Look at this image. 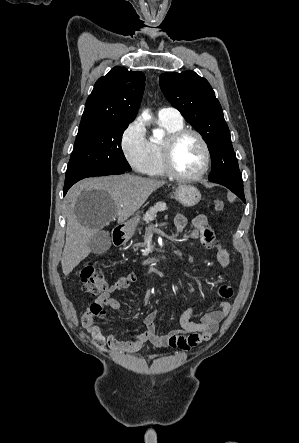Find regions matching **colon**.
I'll return each mask as SVG.
<instances>
[{"instance_id":"colon-1","label":"colon","mask_w":299,"mask_h":443,"mask_svg":"<svg viewBox=\"0 0 299 443\" xmlns=\"http://www.w3.org/2000/svg\"><path fill=\"white\" fill-rule=\"evenodd\" d=\"M225 203L221 199L214 201V209L217 212L223 211ZM106 287V282L102 271L94 267L92 264H87L81 271V288L89 294H98ZM90 311L94 317L102 318L104 310L99 304H92Z\"/></svg>"}]
</instances>
